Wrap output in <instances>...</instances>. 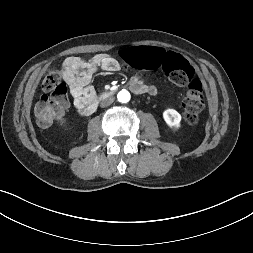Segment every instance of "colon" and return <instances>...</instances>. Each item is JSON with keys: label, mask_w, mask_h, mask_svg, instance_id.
Listing matches in <instances>:
<instances>
[{"label": "colon", "mask_w": 253, "mask_h": 253, "mask_svg": "<svg viewBox=\"0 0 253 253\" xmlns=\"http://www.w3.org/2000/svg\"><path fill=\"white\" fill-rule=\"evenodd\" d=\"M122 65L128 71L148 70L152 73L165 71L175 84L187 85L183 100V117L194 125L199 121L205 105L202 82L195 78L194 68L177 49L169 52L162 47H125L121 50ZM44 94L35 105V116L42 127L50 126L67 107L68 88L58 70H49L42 83Z\"/></svg>", "instance_id": "1"}]
</instances>
